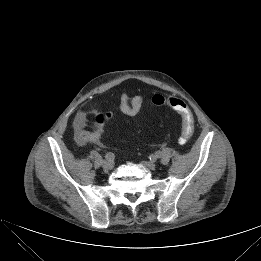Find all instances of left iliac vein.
I'll use <instances>...</instances> for the list:
<instances>
[{
	"mask_svg": "<svg viewBox=\"0 0 261 261\" xmlns=\"http://www.w3.org/2000/svg\"><path fill=\"white\" fill-rule=\"evenodd\" d=\"M143 165L148 169H154L156 167V163L153 161L143 162Z\"/></svg>",
	"mask_w": 261,
	"mask_h": 261,
	"instance_id": "left-iliac-vein-1",
	"label": "left iliac vein"
}]
</instances>
